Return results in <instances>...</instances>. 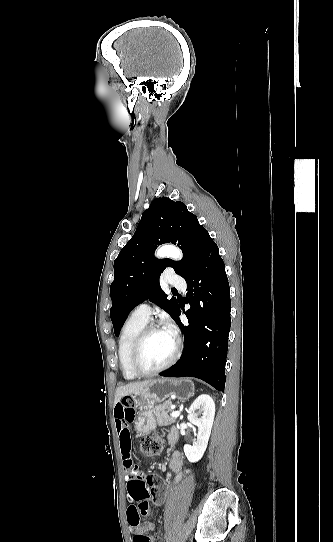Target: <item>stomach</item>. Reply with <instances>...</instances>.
<instances>
[{
  "label": "stomach",
  "mask_w": 333,
  "mask_h": 542,
  "mask_svg": "<svg viewBox=\"0 0 333 542\" xmlns=\"http://www.w3.org/2000/svg\"><path fill=\"white\" fill-rule=\"evenodd\" d=\"M195 388L192 380L188 378H157V380H151L149 386H146L144 390H140L137 394H130L129 397H120L119 400H133L136 406H139L140 412H137L136 418V430L135 438L142 440L148 436L151 430L156 428V420L154 416L153 408L149 402H165L170 396H175L178 400H188L194 396Z\"/></svg>",
  "instance_id": "1"
}]
</instances>
